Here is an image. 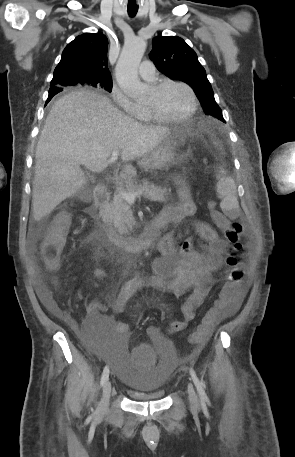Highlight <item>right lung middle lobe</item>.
<instances>
[{
	"label": "right lung middle lobe",
	"instance_id": "dd1d6c3e",
	"mask_svg": "<svg viewBox=\"0 0 295 457\" xmlns=\"http://www.w3.org/2000/svg\"><path fill=\"white\" fill-rule=\"evenodd\" d=\"M72 85H76V84H72ZM90 85L92 86H101L102 88L108 90L109 92H111L112 90V81H105V82H93L91 83Z\"/></svg>",
	"mask_w": 295,
	"mask_h": 457
}]
</instances>
